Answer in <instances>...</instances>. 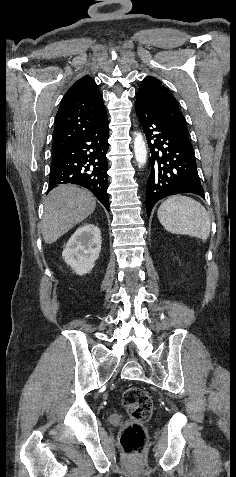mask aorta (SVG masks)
Listing matches in <instances>:
<instances>
[{
	"label": "aorta",
	"instance_id": "762f6f07",
	"mask_svg": "<svg viewBox=\"0 0 236 477\" xmlns=\"http://www.w3.org/2000/svg\"><path fill=\"white\" fill-rule=\"evenodd\" d=\"M135 159L139 166H143L147 162V148L141 133H136L134 138Z\"/></svg>",
	"mask_w": 236,
	"mask_h": 477
}]
</instances>
